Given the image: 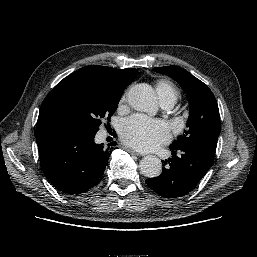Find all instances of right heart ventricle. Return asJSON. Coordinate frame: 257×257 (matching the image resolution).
<instances>
[{
    "mask_svg": "<svg viewBox=\"0 0 257 257\" xmlns=\"http://www.w3.org/2000/svg\"><path fill=\"white\" fill-rule=\"evenodd\" d=\"M155 89L160 102L170 101L175 103L179 97L178 89L168 80H159L156 83Z\"/></svg>",
    "mask_w": 257,
    "mask_h": 257,
    "instance_id": "1",
    "label": "right heart ventricle"
}]
</instances>
